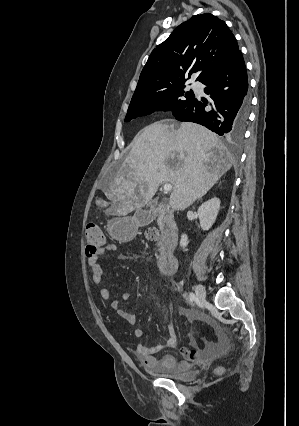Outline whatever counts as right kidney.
Wrapping results in <instances>:
<instances>
[{
    "mask_svg": "<svg viewBox=\"0 0 299 426\" xmlns=\"http://www.w3.org/2000/svg\"><path fill=\"white\" fill-rule=\"evenodd\" d=\"M220 209V200L219 198H211L198 208V216L200 221V226L203 230L208 231L213 223L215 222L218 212ZM188 237L186 234H182L180 240V246L185 249L188 245Z\"/></svg>",
    "mask_w": 299,
    "mask_h": 426,
    "instance_id": "right-kidney-1",
    "label": "right kidney"
}]
</instances>
